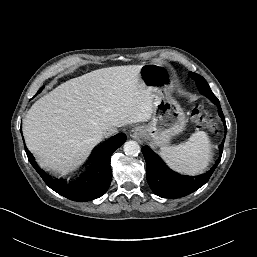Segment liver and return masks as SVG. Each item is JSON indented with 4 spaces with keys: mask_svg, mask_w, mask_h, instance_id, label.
I'll return each instance as SVG.
<instances>
[{
    "mask_svg": "<svg viewBox=\"0 0 257 257\" xmlns=\"http://www.w3.org/2000/svg\"><path fill=\"white\" fill-rule=\"evenodd\" d=\"M139 70L136 65L94 70L37 100L25 116L23 135L40 165L68 174L102 141V132L149 121L155 94Z\"/></svg>",
    "mask_w": 257,
    "mask_h": 257,
    "instance_id": "6515ba94",
    "label": "liver"
}]
</instances>
